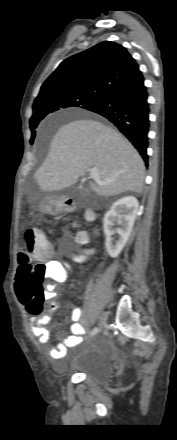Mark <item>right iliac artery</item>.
<instances>
[{
  "label": "right iliac artery",
  "mask_w": 177,
  "mask_h": 440,
  "mask_svg": "<svg viewBox=\"0 0 177 440\" xmlns=\"http://www.w3.org/2000/svg\"><path fill=\"white\" fill-rule=\"evenodd\" d=\"M97 332H98V328H94V329L91 331L90 336L95 335Z\"/></svg>",
  "instance_id": "obj_1"
}]
</instances>
